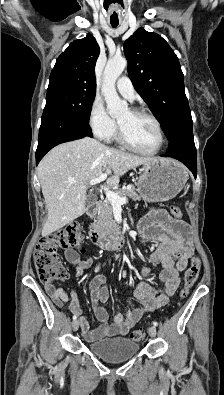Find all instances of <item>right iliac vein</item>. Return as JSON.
<instances>
[{"mask_svg":"<svg viewBox=\"0 0 224 395\" xmlns=\"http://www.w3.org/2000/svg\"><path fill=\"white\" fill-rule=\"evenodd\" d=\"M79 325H80L79 320L73 321V322H72V329H73V331H77L78 328H79Z\"/></svg>","mask_w":224,"mask_h":395,"instance_id":"right-iliac-vein-1","label":"right iliac vein"}]
</instances>
